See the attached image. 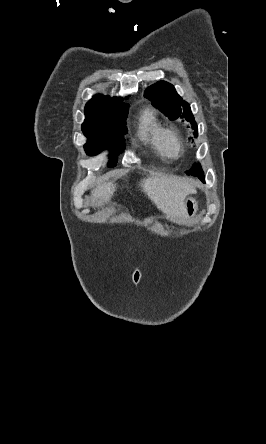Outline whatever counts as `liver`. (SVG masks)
<instances>
[{"instance_id":"obj_1","label":"liver","mask_w":266,"mask_h":444,"mask_svg":"<svg viewBox=\"0 0 266 444\" xmlns=\"http://www.w3.org/2000/svg\"><path fill=\"white\" fill-rule=\"evenodd\" d=\"M142 191L167 216L178 219L184 217V201L194 193L193 185L186 179L173 175H159L141 180ZM116 189L113 182L104 183L92 190L93 205H101L110 199Z\"/></svg>"}]
</instances>
